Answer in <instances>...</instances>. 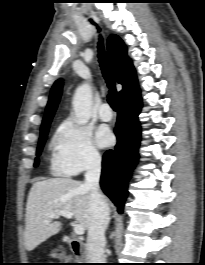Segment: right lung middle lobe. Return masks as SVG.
<instances>
[{
    "label": "right lung middle lobe",
    "instance_id": "right-lung-middle-lobe-1",
    "mask_svg": "<svg viewBox=\"0 0 205 265\" xmlns=\"http://www.w3.org/2000/svg\"><path fill=\"white\" fill-rule=\"evenodd\" d=\"M48 129H49V126L43 128V129L41 130V133H40V140H39V144H38V148H37V156L40 155V153H41V151H42V149H43V146H44L45 140H46V138H47ZM38 162H39V160H38V158H36L34 166H37V165H38Z\"/></svg>",
    "mask_w": 205,
    "mask_h": 265
}]
</instances>
